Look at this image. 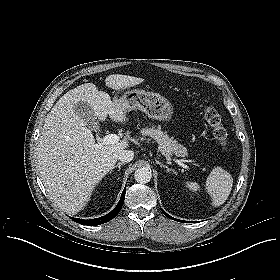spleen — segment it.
<instances>
[{
	"instance_id": "1",
	"label": "spleen",
	"mask_w": 280,
	"mask_h": 280,
	"mask_svg": "<svg viewBox=\"0 0 280 280\" xmlns=\"http://www.w3.org/2000/svg\"><path fill=\"white\" fill-rule=\"evenodd\" d=\"M233 185L231 174L222 167H215L206 181V189L212 198L214 206L223 204L228 198ZM186 186L193 191L199 189L196 182H186Z\"/></svg>"
}]
</instances>
